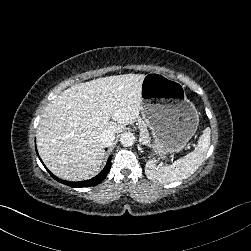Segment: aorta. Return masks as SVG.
Listing matches in <instances>:
<instances>
[{
  "instance_id": "762f6f07",
  "label": "aorta",
  "mask_w": 251,
  "mask_h": 251,
  "mask_svg": "<svg viewBox=\"0 0 251 251\" xmlns=\"http://www.w3.org/2000/svg\"><path fill=\"white\" fill-rule=\"evenodd\" d=\"M135 137L132 133L125 132L120 136V142L124 147H130L134 144Z\"/></svg>"
}]
</instances>
